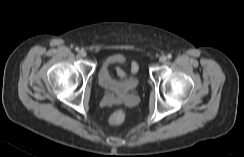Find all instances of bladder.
I'll return each mask as SVG.
<instances>
[{
    "label": "bladder",
    "instance_id": "obj_1",
    "mask_svg": "<svg viewBox=\"0 0 244 157\" xmlns=\"http://www.w3.org/2000/svg\"><path fill=\"white\" fill-rule=\"evenodd\" d=\"M115 63H125V59L122 56L114 55L106 58L100 64L98 71L99 85L110 94L124 97L137 89L139 80L136 75H129L122 80L115 79L110 72L111 66Z\"/></svg>",
    "mask_w": 244,
    "mask_h": 157
}]
</instances>
